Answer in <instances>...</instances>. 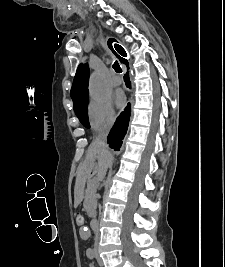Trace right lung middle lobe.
I'll use <instances>...</instances> for the list:
<instances>
[{
	"mask_svg": "<svg viewBox=\"0 0 225 267\" xmlns=\"http://www.w3.org/2000/svg\"><path fill=\"white\" fill-rule=\"evenodd\" d=\"M88 97L82 100L78 105L74 106V111L80 120L81 124L86 128H90L88 120Z\"/></svg>",
	"mask_w": 225,
	"mask_h": 267,
	"instance_id": "right-lung-middle-lobe-1",
	"label": "right lung middle lobe"
}]
</instances>
